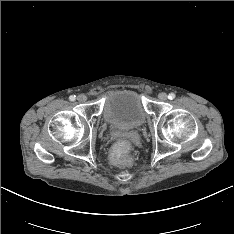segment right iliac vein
Here are the masks:
<instances>
[{"label":"right iliac vein","mask_w":234,"mask_h":234,"mask_svg":"<svg viewBox=\"0 0 234 234\" xmlns=\"http://www.w3.org/2000/svg\"><path fill=\"white\" fill-rule=\"evenodd\" d=\"M77 100H78L79 102L83 103V102H85V101L87 100V97H86V95L81 94V95H79V96L77 97Z\"/></svg>","instance_id":"right-iliac-vein-1"}]
</instances>
